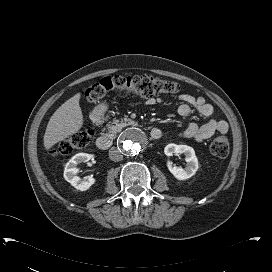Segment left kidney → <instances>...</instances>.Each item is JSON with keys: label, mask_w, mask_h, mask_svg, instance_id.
Instances as JSON below:
<instances>
[{"label": "left kidney", "mask_w": 272, "mask_h": 272, "mask_svg": "<svg viewBox=\"0 0 272 272\" xmlns=\"http://www.w3.org/2000/svg\"><path fill=\"white\" fill-rule=\"evenodd\" d=\"M164 152L167 156L173 154H184L187 165L185 168L172 166L171 162L167 163L169 171L178 180H186L191 178L198 170V159L195 155V151L192 147L187 145L168 144L164 148Z\"/></svg>", "instance_id": "1"}]
</instances>
